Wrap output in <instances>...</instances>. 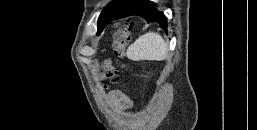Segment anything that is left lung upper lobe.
I'll list each match as a JSON object with an SVG mask.
<instances>
[{
  "mask_svg": "<svg viewBox=\"0 0 257 130\" xmlns=\"http://www.w3.org/2000/svg\"><path fill=\"white\" fill-rule=\"evenodd\" d=\"M129 0H113L110 2L102 11L98 19V29L104 28L106 25L107 18L112 14V12L119 7L125 5Z\"/></svg>",
  "mask_w": 257,
  "mask_h": 130,
  "instance_id": "obj_1",
  "label": "left lung upper lobe"
}]
</instances>
